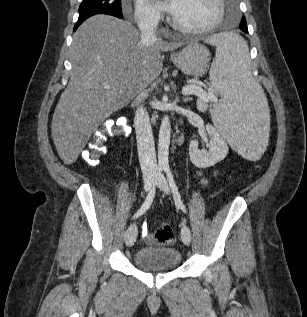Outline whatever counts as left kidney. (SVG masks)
<instances>
[{"instance_id": "5707ae66", "label": "left kidney", "mask_w": 307, "mask_h": 317, "mask_svg": "<svg viewBox=\"0 0 307 317\" xmlns=\"http://www.w3.org/2000/svg\"><path fill=\"white\" fill-rule=\"evenodd\" d=\"M207 133L211 139L209 149L199 150L198 141L192 140L189 145V154L191 162L199 168H207L215 165L223 160L229 149L224 138L216 131V129L208 124L206 126Z\"/></svg>"}]
</instances>
